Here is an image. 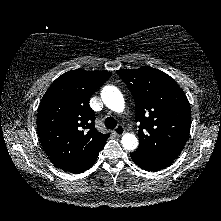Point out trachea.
<instances>
[{
    "instance_id": "obj_1",
    "label": "trachea",
    "mask_w": 221,
    "mask_h": 221,
    "mask_svg": "<svg viewBox=\"0 0 221 221\" xmlns=\"http://www.w3.org/2000/svg\"><path fill=\"white\" fill-rule=\"evenodd\" d=\"M104 123H105L106 128L108 129H113L117 125V122L113 117H107Z\"/></svg>"
}]
</instances>
